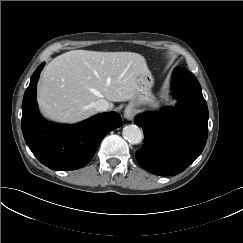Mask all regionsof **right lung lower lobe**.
<instances>
[{"mask_svg": "<svg viewBox=\"0 0 243 243\" xmlns=\"http://www.w3.org/2000/svg\"><path fill=\"white\" fill-rule=\"evenodd\" d=\"M44 63L33 73L22 102V131L35 157L53 170H75L85 166L100 142L113 129L122 126L118 113L95 115L74 125L47 122L38 112L36 85Z\"/></svg>", "mask_w": 243, "mask_h": 243, "instance_id": "obj_1", "label": "right lung lower lobe"}]
</instances>
